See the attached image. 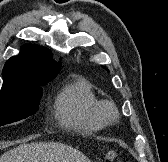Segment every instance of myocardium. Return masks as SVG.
I'll list each match as a JSON object with an SVG mask.
<instances>
[{"label":"myocardium","instance_id":"obj_1","mask_svg":"<svg viewBox=\"0 0 168 162\" xmlns=\"http://www.w3.org/2000/svg\"><path fill=\"white\" fill-rule=\"evenodd\" d=\"M100 113L106 122L115 121L118 117V109L111 101H101Z\"/></svg>","mask_w":168,"mask_h":162}]
</instances>
